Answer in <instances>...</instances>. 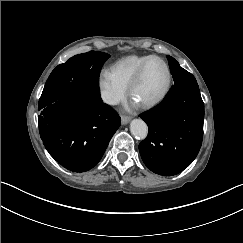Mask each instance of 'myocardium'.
Listing matches in <instances>:
<instances>
[{
    "mask_svg": "<svg viewBox=\"0 0 243 243\" xmlns=\"http://www.w3.org/2000/svg\"><path fill=\"white\" fill-rule=\"evenodd\" d=\"M154 60L160 61L166 67L167 72H168V83H167V86H166L165 90L163 91V93L159 97H157L156 99H154V100H152L150 102L141 104L142 108H145V109L153 108V107L159 105L160 103H162L165 100V98L168 96V94L170 93L172 85H173V72H172L171 66L163 58L155 56V57H152V58L144 61L139 66L136 74L134 75V77L132 78V80L130 81V83L128 84V87H127L130 96H132L133 89L135 88V86L140 81V79H141V77H142V75L144 73L145 68L147 67V65L150 62H152Z\"/></svg>",
    "mask_w": 243,
    "mask_h": 243,
    "instance_id": "f54148a6",
    "label": "myocardium"
}]
</instances>
